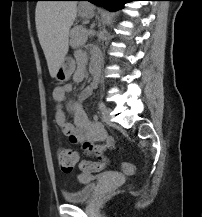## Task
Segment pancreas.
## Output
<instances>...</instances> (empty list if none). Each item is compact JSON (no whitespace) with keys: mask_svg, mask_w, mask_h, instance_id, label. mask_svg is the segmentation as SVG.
Instances as JSON below:
<instances>
[{"mask_svg":"<svg viewBox=\"0 0 202 217\" xmlns=\"http://www.w3.org/2000/svg\"><path fill=\"white\" fill-rule=\"evenodd\" d=\"M88 33L84 31L82 26L74 27L70 32V45L73 48L83 45L88 37Z\"/></svg>","mask_w":202,"mask_h":217,"instance_id":"cf45deb5","label":"pancreas"}]
</instances>
